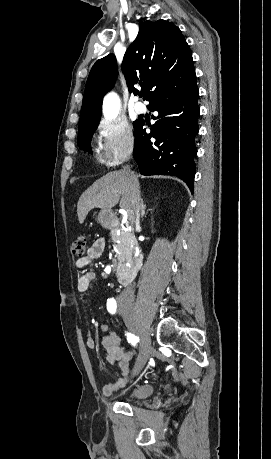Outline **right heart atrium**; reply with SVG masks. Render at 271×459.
I'll list each match as a JSON object with an SVG mask.
<instances>
[{"label": "right heart atrium", "mask_w": 271, "mask_h": 459, "mask_svg": "<svg viewBox=\"0 0 271 459\" xmlns=\"http://www.w3.org/2000/svg\"><path fill=\"white\" fill-rule=\"evenodd\" d=\"M93 138L98 160L106 167L118 165L131 153L134 146L132 128L120 121L101 120L96 125Z\"/></svg>", "instance_id": "1"}]
</instances>
